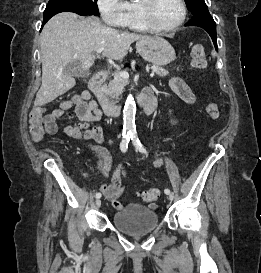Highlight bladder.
<instances>
[{
  "instance_id": "obj_1",
  "label": "bladder",
  "mask_w": 261,
  "mask_h": 273,
  "mask_svg": "<svg viewBox=\"0 0 261 273\" xmlns=\"http://www.w3.org/2000/svg\"><path fill=\"white\" fill-rule=\"evenodd\" d=\"M159 218L153 207L130 203L117 210L112 216V224L129 234L152 232L156 229Z\"/></svg>"
}]
</instances>
